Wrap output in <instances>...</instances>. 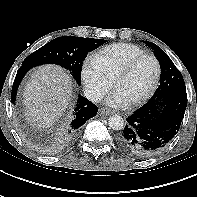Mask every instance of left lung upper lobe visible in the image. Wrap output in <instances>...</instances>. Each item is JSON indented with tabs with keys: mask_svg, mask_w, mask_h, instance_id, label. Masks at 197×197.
<instances>
[{
	"mask_svg": "<svg viewBox=\"0 0 197 197\" xmlns=\"http://www.w3.org/2000/svg\"><path fill=\"white\" fill-rule=\"evenodd\" d=\"M145 43L154 49L155 55L159 60L161 67L160 85L148 102L158 100L173 90L186 89L182 74L176 68L168 55L156 44L148 41Z\"/></svg>",
	"mask_w": 197,
	"mask_h": 197,
	"instance_id": "left-lung-upper-lobe-1",
	"label": "left lung upper lobe"
}]
</instances>
